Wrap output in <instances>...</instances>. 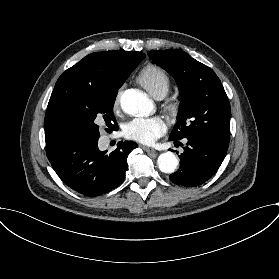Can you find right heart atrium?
<instances>
[{
  "instance_id": "1",
  "label": "right heart atrium",
  "mask_w": 279,
  "mask_h": 279,
  "mask_svg": "<svg viewBox=\"0 0 279 279\" xmlns=\"http://www.w3.org/2000/svg\"><path fill=\"white\" fill-rule=\"evenodd\" d=\"M120 94H121V88L115 94V97H114V100H113L114 109L117 108V106L119 105Z\"/></svg>"
}]
</instances>
